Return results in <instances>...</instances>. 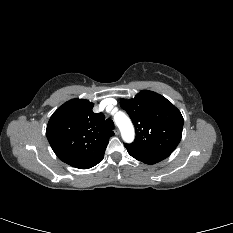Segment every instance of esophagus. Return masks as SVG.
<instances>
[{"mask_svg":"<svg viewBox=\"0 0 233 233\" xmlns=\"http://www.w3.org/2000/svg\"><path fill=\"white\" fill-rule=\"evenodd\" d=\"M114 133H115V135H119V134H120L119 129H118V128H115V129H114Z\"/></svg>","mask_w":233,"mask_h":233,"instance_id":"1","label":"esophagus"}]
</instances>
